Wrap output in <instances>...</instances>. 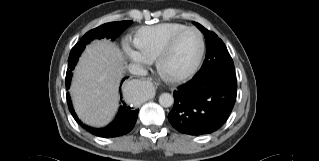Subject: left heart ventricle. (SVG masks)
Wrapping results in <instances>:
<instances>
[{
  "label": "left heart ventricle",
  "mask_w": 319,
  "mask_h": 161,
  "mask_svg": "<svg viewBox=\"0 0 319 161\" xmlns=\"http://www.w3.org/2000/svg\"><path fill=\"white\" fill-rule=\"evenodd\" d=\"M200 49L199 36L194 31L184 33L175 43L164 62L169 73H181L195 62Z\"/></svg>",
  "instance_id": "1"
}]
</instances>
